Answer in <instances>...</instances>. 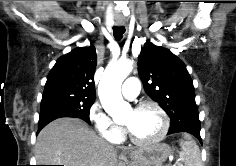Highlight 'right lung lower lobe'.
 <instances>
[{"label":"right lung lower lobe","instance_id":"right-lung-lower-lobe-1","mask_svg":"<svg viewBox=\"0 0 236 166\" xmlns=\"http://www.w3.org/2000/svg\"><path fill=\"white\" fill-rule=\"evenodd\" d=\"M77 118V117H76ZM48 123H43V124H39V129H38V132Z\"/></svg>","mask_w":236,"mask_h":166}]
</instances>
